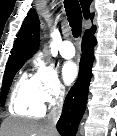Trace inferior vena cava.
Segmentation results:
<instances>
[{
    "mask_svg": "<svg viewBox=\"0 0 117 136\" xmlns=\"http://www.w3.org/2000/svg\"><path fill=\"white\" fill-rule=\"evenodd\" d=\"M63 95H64V90L60 92L59 102L57 103L56 106L52 108L51 112L48 115L47 120L45 121L46 126L52 132L56 131V122L58 121L61 115Z\"/></svg>",
    "mask_w": 117,
    "mask_h": 136,
    "instance_id": "1",
    "label": "inferior vena cava"
}]
</instances>
